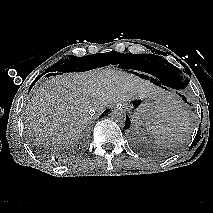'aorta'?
Listing matches in <instances>:
<instances>
[{"instance_id":"aorta-1","label":"aorta","mask_w":213,"mask_h":213,"mask_svg":"<svg viewBox=\"0 0 213 213\" xmlns=\"http://www.w3.org/2000/svg\"><path fill=\"white\" fill-rule=\"evenodd\" d=\"M110 116L114 122L121 125H123L126 121V113L122 109L113 110Z\"/></svg>"}]
</instances>
